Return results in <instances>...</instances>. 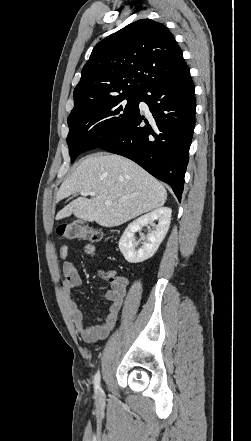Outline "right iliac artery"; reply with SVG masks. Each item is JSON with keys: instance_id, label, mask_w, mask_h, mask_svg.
<instances>
[{"instance_id": "82829eb1", "label": "right iliac artery", "mask_w": 251, "mask_h": 441, "mask_svg": "<svg viewBox=\"0 0 251 441\" xmlns=\"http://www.w3.org/2000/svg\"><path fill=\"white\" fill-rule=\"evenodd\" d=\"M94 386L95 390L98 391L100 389V371L98 370L94 376Z\"/></svg>"}]
</instances>
